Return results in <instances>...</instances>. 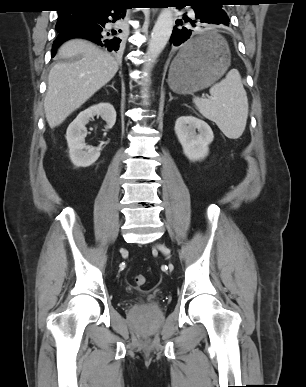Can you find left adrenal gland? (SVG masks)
I'll return each mask as SVG.
<instances>
[{"label": "left adrenal gland", "mask_w": 306, "mask_h": 387, "mask_svg": "<svg viewBox=\"0 0 306 387\" xmlns=\"http://www.w3.org/2000/svg\"><path fill=\"white\" fill-rule=\"evenodd\" d=\"M169 97H170L169 101H172L173 97L171 96V94H169Z\"/></svg>", "instance_id": "1"}]
</instances>
